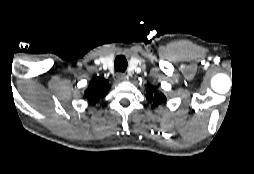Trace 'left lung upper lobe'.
<instances>
[{
    "label": "left lung upper lobe",
    "mask_w": 254,
    "mask_h": 174,
    "mask_svg": "<svg viewBox=\"0 0 254 174\" xmlns=\"http://www.w3.org/2000/svg\"><path fill=\"white\" fill-rule=\"evenodd\" d=\"M150 92L147 96V100L153 103V108L166 101V97L162 93H155V87H150Z\"/></svg>",
    "instance_id": "obj_1"
}]
</instances>
